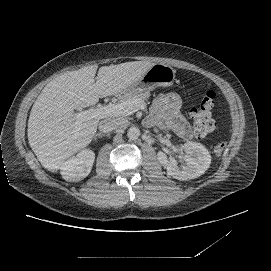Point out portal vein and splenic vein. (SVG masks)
I'll return each mask as SVG.
<instances>
[{
	"instance_id": "1",
	"label": "portal vein and splenic vein",
	"mask_w": 271,
	"mask_h": 271,
	"mask_svg": "<svg viewBox=\"0 0 271 271\" xmlns=\"http://www.w3.org/2000/svg\"><path fill=\"white\" fill-rule=\"evenodd\" d=\"M145 103L142 100H131L118 104H109L101 106L97 109L86 110L79 112L77 116L82 119L95 118L102 119L106 117H115L120 115H131L137 112L139 109H145Z\"/></svg>"
}]
</instances>
